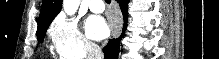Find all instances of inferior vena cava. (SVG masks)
I'll return each mask as SVG.
<instances>
[{"instance_id": "inferior-vena-cava-1", "label": "inferior vena cava", "mask_w": 219, "mask_h": 59, "mask_svg": "<svg viewBox=\"0 0 219 59\" xmlns=\"http://www.w3.org/2000/svg\"><path fill=\"white\" fill-rule=\"evenodd\" d=\"M87 59H103L104 55L101 48L94 43L86 44Z\"/></svg>"}]
</instances>
